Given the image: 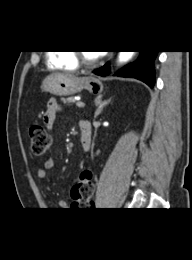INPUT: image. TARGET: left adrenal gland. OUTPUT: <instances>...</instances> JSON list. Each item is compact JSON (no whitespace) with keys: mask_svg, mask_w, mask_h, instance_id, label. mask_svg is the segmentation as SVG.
<instances>
[{"mask_svg":"<svg viewBox=\"0 0 192 260\" xmlns=\"http://www.w3.org/2000/svg\"><path fill=\"white\" fill-rule=\"evenodd\" d=\"M111 101V98L105 101H102V95H99L98 97H96L95 99V105L97 106L94 118L98 117L101 113L103 108L108 105Z\"/></svg>","mask_w":192,"mask_h":260,"instance_id":"a2214340","label":"left adrenal gland"}]
</instances>
